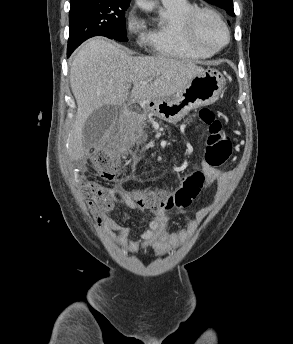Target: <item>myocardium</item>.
<instances>
[{
    "mask_svg": "<svg viewBox=\"0 0 293 344\" xmlns=\"http://www.w3.org/2000/svg\"><path fill=\"white\" fill-rule=\"evenodd\" d=\"M203 15H208L214 18L223 28L225 32V41L216 48H209L204 45L197 35V24L199 19ZM183 32L186 37V40L198 50L203 52L215 54L222 50L230 41V30L224 21L223 17L214 9L207 8V7H197L193 11H191L188 16L185 18L183 22Z\"/></svg>",
    "mask_w": 293,
    "mask_h": 344,
    "instance_id": "myocardium-1",
    "label": "myocardium"
}]
</instances>
